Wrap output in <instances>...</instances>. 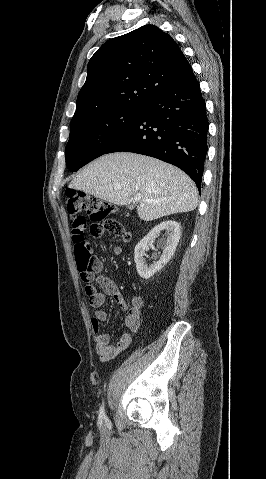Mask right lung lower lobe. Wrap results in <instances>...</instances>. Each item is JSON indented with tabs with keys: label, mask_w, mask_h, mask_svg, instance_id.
I'll use <instances>...</instances> for the list:
<instances>
[{
	"label": "right lung lower lobe",
	"mask_w": 266,
	"mask_h": 479,
	"mask_svg": "<svg viewBox=\"0 0 266 479\" xmlns=\"http://www.w3.org/2000/svg\"><path fill=\"white\" fill-rule=\"evenodd\" d=\"M208 126L205 101L193 75L149 101L104 154L125 151L158 158L186 172L200 190Z\"/></svg>",
	"instance_id": "obj_1"
}]
</instances>
